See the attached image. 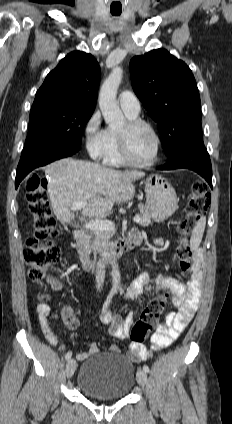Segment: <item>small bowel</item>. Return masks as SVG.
Returning a JSON list of instances; mask_svg holds the SVG:
<instances>
[{
  "label": "small bowel",
  "mask_w": 232,
  "mask_h": 424,
  "mask_svg": "<svg viewBox=\"0 0 232 424\" xmlns=\"http://www.w3.org/2000/svg\"><path fill=\"white\" fill-rule=\"evenodd\" d=\"M131 234L136 235L139 233L133 231ZM155 244L162 245L163 242L157 239ZM202 278L203 262L202 258L197 256L187 279L186 286L174 278H152L148 273H143L135 278L126 288L125 298L129 302L135 300L143 292L169 290L172 292V304L177 308L176 311H170L165 315L164 322L159 325L151 338L152 345L150 349L143 344L131 343L129 345L128 355L132 361L140 362L149 357L151 350L155 351L169 347L185 330L199 307ZM52 286L55 290H62V283L60 281H53ZM36 314L44 337L49 344L56 345L58 338L50 321L51 309L49 305L39 303L36 306ZM61 317L69 329H78L79 321L71 307L64 306ZM101 320L104 324L108 325V333L113 337L117 339H126L128 337L129 328L132 324V314H129L126 318H122L118 314L106 312L102 315ZM109 350L112 353L120 352L117 345H111ZM98 352V345L91 343L88 351L79 353L77 358L83 360L87 356L97 354Z\"/></svg>",
  "instance_id": "c3829d8e"
}]
</instances>
